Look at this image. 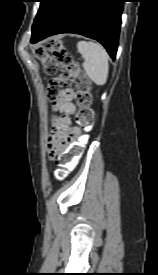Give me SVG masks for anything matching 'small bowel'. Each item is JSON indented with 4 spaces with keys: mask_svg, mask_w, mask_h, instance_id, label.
Masks as SVG:
<instances>
[{
    "mask_svg": "<svg viewBox=\"0 0 158 275\" xmlns=\"http://www.w3.org/2000/svg\"><path fill=\"white\" fill-rule=\"evenodd\" d=\"M74 94L68 91L52 103L54 110H60L62 115L52 117L51 133L48 140V152L51 157L62 153L80 136L78 127L72 126V117L76 107L73 103Z\"/></svg>",
    "mask_w": 158,
    "mask_h": 275,
    "instance_id": "small-bowel-1",
    "label": "small bowel"
}]
</instances>
